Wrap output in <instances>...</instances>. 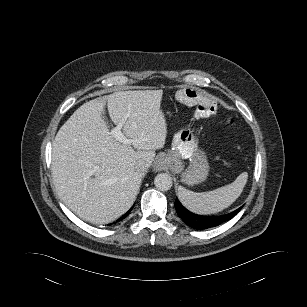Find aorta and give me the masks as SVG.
<instances>
[{"instance_id":"aorta-1","label":"aorta","mask_w":307,"mask_h":307,"mask_svg":"<svg viewBox=\"0 0 307 307\" xmlns=\"http://www.w3.org/2000/svg\"><path fill=\"white\" fill-rule=\"evenodd\" d=\"M154 184L157 189L161 191H168L171 189L173 181L170 175L166 173H160L155 177Z\"/></svg>"}]
</instances>
